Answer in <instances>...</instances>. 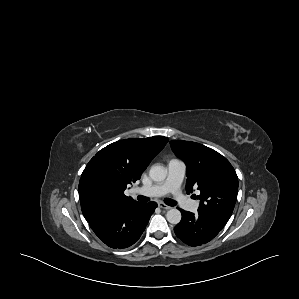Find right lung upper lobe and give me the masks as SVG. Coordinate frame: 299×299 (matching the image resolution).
Wrapping results in <instances>:
<instances>
[{
  "mask_svg": "<svg viewBox=\"0 0 299 299\" xmlns=\"http://www.w3.org/2000/svg\"><path fill=\"white\" fill-rule=\"evenodd\" d=\"M168 140L163 136L125 139L101 149L89 161L80 178L79 199L83 215L103 213L134 202L124 195L126 187L140 179Z\"/></svg>",
  "mask_w": 299,
  "mask_h": 299,
  "instance_id": "right-lung-upper-lobe-1",
  "label": "right lung upper lobe"
}]
</instances>
